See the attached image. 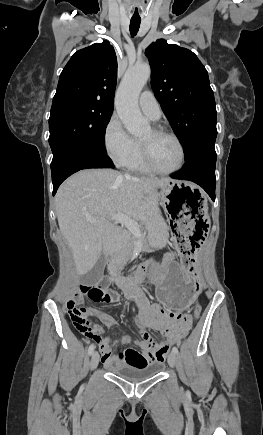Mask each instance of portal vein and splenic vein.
Instances as JSON below:
<instances>
[{"instance_id": "1", "label": "portal vein and splenic vein", "mask_w": 263, "mask_h": 435, "mask_svg": "<svg viewBox=\"0 0 263 435\" xmlns=\"http://www.w3.org/2000/svg\"><path fill=\"white\" fill-rule=\"evenodd\" d=\"M110 219L115 221V222L124 224L126 226V228L133 235H136L138 237L142 236L139 224L136 221H134L131 217H129V216L125 215V214L118 213V214H115V215L111 216ZM88 220L90 222H92V223L97 222L94 219H88Z\"/></svg>"}]
</instances>
